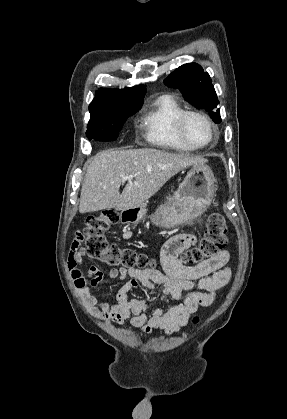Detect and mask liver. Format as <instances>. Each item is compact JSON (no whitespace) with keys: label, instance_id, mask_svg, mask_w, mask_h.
Here are the masks:
<instances>
[{"label":"liver","instance_id":"liver-1","mask_svg":"<svg viewBox=\"0 0 287 419\" xmlns=\"http://www.w3.org/2000/svg\"><path fill=\"white\" fill-rule=\"evenodd\" d=\"M206 161L200 156L154 148L101 151L86 165L79 212L143 206L178 172ZM127 175L132 176V181L120 194L122 178Z\"/></svg>","mask_w":287,"mask_h":419}]
</instances>
